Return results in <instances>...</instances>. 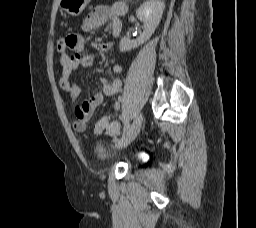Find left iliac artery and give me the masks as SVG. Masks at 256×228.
<instances>
[{"label": "left iliac artery", "mask_w": 256, "mask_h": 228, "mask_svg": "<svg viewBox=\"0 0 256 228\" xmlns=\"http://www.w3.org/2000/svg\"><path fill=\"white\" fill-rule=\"evenodd\" d=\"M123 123H124V127H123V134H125V132L129 129L130 124L129 121L127 119H125V116H123Z\"/></svg>", "instance_id": "left-iliac-artery-1"}]
</instances>
